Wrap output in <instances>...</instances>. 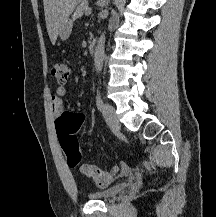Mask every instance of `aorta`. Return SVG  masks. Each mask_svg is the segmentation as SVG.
I'll use <instances>...</instances> for the list:
<instances>
[{"instance_id": "1", "label": "aorta", "mask_w": 216, "mask_h": 217, "mask_svg": "<svg viewBox=\"0 0 216 217\" xmlns=\"http://www.w3.org/2000/svg\"><path fill=\"white\" fill-rule=\"evenodd\" d=\"M105 32L100 36L94 55V66L97 73H100L103 68L104 56H105Z\"/></svg>"}]
</instances>
